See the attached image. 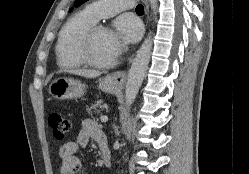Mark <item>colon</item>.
<instances>
[{
  "label": "colon",
  "instance_id": "obj_1",
  "mask_svg": "<svg viewBox=\"0 0 249 174\" xmlns=\"http://www.w3.org/2000/svg\"><path fill=\"white\" fill-rule=\"evenodd\" d=\"M48 122L54 137L58 140H63L71 131V122L59 113H51Z\"/></svg>",
  "mask_w": 249,
  "mask_h": 174
}]
</instances>
